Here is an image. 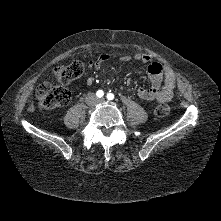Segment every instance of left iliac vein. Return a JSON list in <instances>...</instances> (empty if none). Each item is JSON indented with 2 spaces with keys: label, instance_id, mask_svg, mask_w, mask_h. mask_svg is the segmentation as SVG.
<instances>
[{
  "label": "left iliac vein",
  "instance_id": "4c4485c4",
  "mask_svg": "<svg viewBox=\"0 0 221 221\" xmlns=\"http://www.w3.org/2000/svg\"><path fill=\"white\" fill-rule=\"evenodd\" d=\"M99 101H100V102H104L105 100H104V99H100Z\"/></svg>",
  "mask_w": 221,
  "mask_h": 221
}]
</instances>
